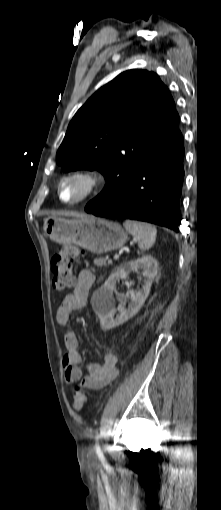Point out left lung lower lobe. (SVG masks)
<instances>
[{
    "instance_id": "0a47b994",
    "label": "left lung lower lobe",
    "mask_w": 221,
    "mask_h": 510,
    "mask_svg": "<svg viewBox=\"0 0 221 510\" xmlns=\"http://www.w3.org/2000/svg\"><path fill=\"white\" fill-rule=\"evenodd\" d=\"M182 135L151 151L127 186L108 204L85 211L100 217L151 222L178 231L184 177Z\"/></svg>"
}]
</instances>
